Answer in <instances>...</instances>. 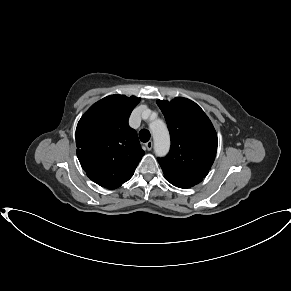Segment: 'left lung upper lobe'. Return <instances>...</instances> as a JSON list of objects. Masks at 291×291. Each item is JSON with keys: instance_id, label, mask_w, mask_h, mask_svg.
Masks as SVG:
<instances>
[{"instance_id": "1", "label": "left lung upper lobe", "mask_w": 291, "mask_h": 291, "mask_svg": "<svg viewBox=\"0 0 291 291\" xmlns=\"http://www.w3.org/2000/svg\"><path fill=\"white\" fill-rule=\"evenodd\" d=\"M157 104L165 116L171 137L168 155L158 158L165 178L189 188L200 183L214 162L218 139L216 131L193 101L178 97Z\"/></svg>"}]
</instances>
